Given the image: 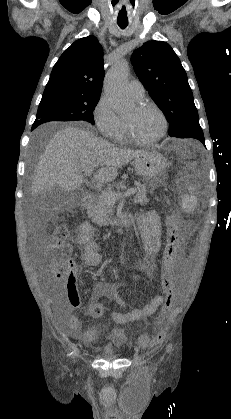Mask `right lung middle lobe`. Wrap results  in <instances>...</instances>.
Returning <instances> with one entry per match:
<instances>
[{"label": "right lung middle lobe", "instance_id": "1", "mask_svg": "<svg viewBox=\"0 0 231 419\" xmlns=\"http://www.w3.org/2000/svg\"><path fill=\"white\" fill-rule=\"evenodd\" d=\"M100 94H88L69 88H45L34 126L49 121L83 120L94 124L93 111Z\"/></svg>", "mask_w": 231, "mask_h": 419}]
</instances>
